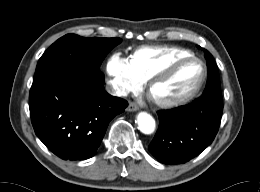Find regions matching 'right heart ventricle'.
<instances>
[{"label": "right heart ventricle", "instance_id": "1", "mask_svg": "<svg viewBox=\"0 0 260 192\" xmlns=\"http://www.w3.org/2000/svg\"><path fill=\"white\" fill-rule=\"evenodd\" d=\"M188 55L186 51L176 48L144 47L134 53L131 62L139 76L147 80L174 61Z\"/></svg>", "mask_w": 260, "mask_h": 192}]
</instances>
